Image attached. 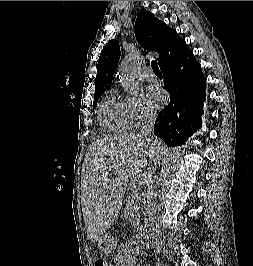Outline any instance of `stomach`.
Segmentation results:
<instances>
[{
    "label": "stomach",
    "instance_id": "obj_1",
    "mask_svg": "<svg viewBox=\"0 0 253 266\" xmlns=\"http://www.w3.org/2000/svg\"><path fill=\"white\" fill-rule=\"evenodd\" d=\"M98 247L102 252H110L114 247V239L110 235H104L98 241Z\"/></svg>",
    "mask_w": 253,
    "mask_h": 266
}]
</instances>
